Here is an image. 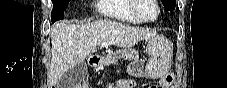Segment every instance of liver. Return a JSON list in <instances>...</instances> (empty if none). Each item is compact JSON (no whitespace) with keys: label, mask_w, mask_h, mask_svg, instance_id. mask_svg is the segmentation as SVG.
<instances>
[{"label":"liver","mask_w":227,"mask_h":88,"mask_svg":"<svg viewBox=\"0 0 227 88\" xmlns=\"http://www.w3.org/2000/svg\"><path fill=\"white\" fill-rule=\"evenodd\" d=\"M156 35V31L132 27L116 21L99 20L75 25L61 21L51 30L52 58L48 86H55L65 72L83 62L102 43L130 48Z\"/></svg>","instance_id":"1"}]
</instances>
